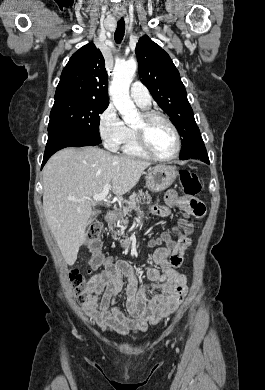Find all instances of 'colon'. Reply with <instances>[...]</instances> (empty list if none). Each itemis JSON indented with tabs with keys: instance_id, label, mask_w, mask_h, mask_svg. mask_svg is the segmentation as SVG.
I'll use <instances>...</instances> for the list:
<instances>
[{
	"instance_id": "5ec220e1",
	"label": "colon",
	"mask_w": 265,
	"mask_h": 390,
	"mask_svg": "<svg viewBox=\"0 0 265 390\" xmlns=\"http://www.w3.org/2000/svg\"><path fill=\"white\" fill-rule=\"evenodd\" d=\"M179 179L182 189L187 196L195 197L201 191V184L198 176L187 170L179 171ZM191 230L189 221L182 224V231L187 233ZM86 245L91 254V264L93 267H100L103 262V256L100 253L101 247V226L93 224L89 227L86 234ZM70 280L76 299L82 306L88 304L91 300V282L87 281L86 277L78 270H73L70 273Z\"/></svg>"
}]
</instances>
